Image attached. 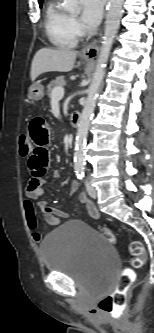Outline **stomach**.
I'll list each match as a JSON object with an SVG mask.
<instances>
[{"mask_svg": "<svg viewBox=\"0 0 154 333\" xmlns=\"http://www.w3.org/2000/svg\"><path fill=\"white\" fill-rule=\"evenodd\" d=\"M85 60H88V57H84ZM44 96V86L39 82H34L28 92V98L31 101H39Z\"/></svg>", "mask_w": 154, "mask_h": 333, "instance_id": "obj_1", "label": "stomach"}]
</instances>
